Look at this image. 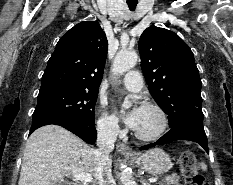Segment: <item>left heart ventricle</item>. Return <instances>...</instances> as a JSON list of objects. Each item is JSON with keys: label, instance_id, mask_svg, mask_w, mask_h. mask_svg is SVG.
<instances>
[{"label": "left heart ventricle", "instance_id": "1", "mask_svg": "<svg viewBox=\"0 0 233 185\" xmlns=\"http://www.w3.org/2000/svg\"><path fill=\"white\" fill-rule=\"evenodd\" d=\"M160 124L161 119L156 111L141 108L139 121L135 131L141 135H151L159 129Z\"/></svg>", "mask_w": 233, "mask_h": 185}]
</instances>
